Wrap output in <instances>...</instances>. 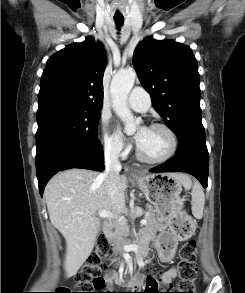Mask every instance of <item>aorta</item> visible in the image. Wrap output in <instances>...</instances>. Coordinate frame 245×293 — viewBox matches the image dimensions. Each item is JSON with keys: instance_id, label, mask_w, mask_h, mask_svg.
I'll use <instances>...</instances> for the list:
<instances>
[{"instance_id": "aorta-1", "label": "aorta", "mask_w": 245, "mask_h": 293, "mask_svg": "<svg viewBox=\"0 0 245 293\" xmlns=\"http://www.w3.org/2000/svg\"><path fill=\"white\" fill-rule=\"evenodd\" d=\"M135 78L136 73L133 70L119 71L113 76L110 85L113 109L124 122L125 132L128 135L136 131V125L140 122V120L134 118L127 106V97L134 85Z\"/></svg>"}]
</instances>
